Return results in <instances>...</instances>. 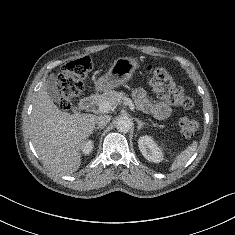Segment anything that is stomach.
Masks as SVG:
<instances>
[{"instance_id": "0dacf381", "label": "stomach", "mask_w": 235, "mask_h": 235, "mask_svg": "<svg viewBox=\"0 0 235 235\" xmlns=\"http://www.w3.org/2000/svg\"><path fill=\"white\" fill-rule=\"evenodd\" d=\"M138 67L139 62L135 58L116 59L108 72L95 82L96 91L106 92L128 82Z\"/></svg>"}]
</instances>
